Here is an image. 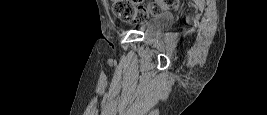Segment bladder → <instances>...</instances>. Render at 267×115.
<instances>
[{
    "mask_svg": "<svg viewBox=\"0 0 267 115\" xmlns=\"http://www.w3.org/2000/svg\"><path fill=\"white\" fill-rule=\"evenodd\" d=\"M173 24V16L169 13H161L151 17L143 23L139 30L145 34H156L169 29Z\"/></svg>",
    "mask_w": 267,
    "mask_h": 115,
    "instance_id": "31cf9c89",
    "label": "bladder"
}]
</instances>
